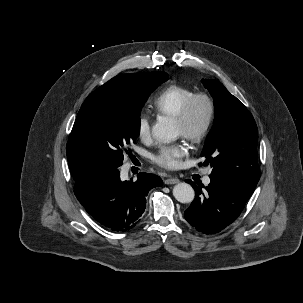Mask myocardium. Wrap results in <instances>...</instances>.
Segmentation results:
<instances>
[{
	"mask_svg": "<svg viewBox=\"0 0 303 303\" xmlns=\"http://www.w3.org/2000/svg\"><path fill=\"white\" fill-rule=\"evenodd\" d=\"M203 101L206 105V114L198 127H193L192 117L197 102ZM215 116V103L210 95L198 92L192 95L183 105L179 114L175 117L182 129V136L194 144L200 143L208 134Z\"/></svg>",
	"mask_w": 303,
	"mask_h": 303,
	"instance_id": "obj_1",
	"label": "myocardium"
}]
</instances>
